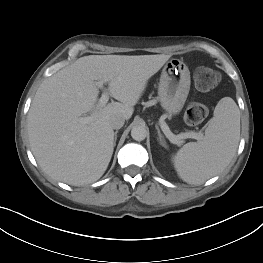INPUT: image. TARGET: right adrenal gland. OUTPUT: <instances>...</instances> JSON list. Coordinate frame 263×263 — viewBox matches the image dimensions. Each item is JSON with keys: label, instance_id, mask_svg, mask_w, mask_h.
Segmentation results:
<instances>
[{"label": "right adrenal gland", "instance_id": "1", "mask_svg": "<svg viewBox=\"0 0 263 263\" xmlns=\"http://www.w3.org/2000/svg\"><path fill=\"white\" fill-rule=\"evenodd\" d=\"M117 133H118V131H115V138H114V145L116 144V140H117Z\"/></svg>", "mask_w": 263, "mask_h": 263}]
</instances>
